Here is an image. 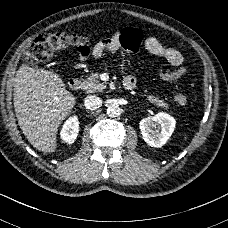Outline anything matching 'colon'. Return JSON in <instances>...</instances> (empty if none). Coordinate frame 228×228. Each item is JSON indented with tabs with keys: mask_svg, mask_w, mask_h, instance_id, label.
<instances>
[{
	"mask_svg": "<svg viewBox=\"0 0 228 228\" xmlns=\"http://www.w3.org/2000/svg\"><path fill=\"white\" fill-rule=\"evenodd\" d=\"M62 50H71L79 55L88 56L91 51L90 40L71 32H52L35 40L26 53V61L31 65H37ZM174 99L179 105L187 103V97L178 87L174 90Z\"/></svg>",
	"mask_w": 228,
	"mask_h": 228,
	"instance_id": "obj_1",
	"label": "colon"
}]
</instances>
